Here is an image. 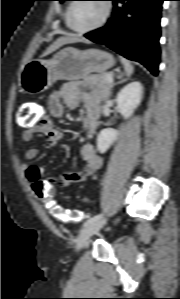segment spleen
I'll list each match as a JSON object with an SVG mask.
<instances>
[{
    "label": "spleen",
    "mask_w": 180,
    "mask_h": 299,
    "mask_svg": "<svg viewBox=\"0 0 180 299\" xmlns=\"http://www.w3.org/2000/svg\"><path fill=\"white\" fill-rule=\"evenodd\" d=\"M120 60H121V63L123 64V66H124L125 75L128 76V77L131 76L132 73H133V70H134L131 63L123 57H120Z\"/></svg>",
    "instance_id": "spleen-1"
}]
</instances>
